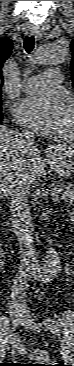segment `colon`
Here are the masks:
<instances>
[{
  "label": "colon",
  "instance_id": "5ec220e1",
  "mask_svg": "<svg viewBox=\"0 0 74 366\" xmlns=\"http://www.w3.org/2000/svg\"><path fill=\"white\" fill-rule=\"evenodd\" d=\"M28 366H49L46 363H35V364H28Z\"/></svg>",
  "mask_w": 74,
  "mask_h": 366
}]
</instances>
